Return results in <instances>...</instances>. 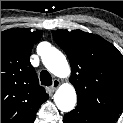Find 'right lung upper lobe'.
Instances as JSON below:
<instances>
[{
    "label": "right lung upper lobe",
    "instance_id": "obj_1",
    "mask_svg": "<svg viewBox=\"0 0 123 123\" xmlns=\"http://www.w3.org/2000/svg\"><path fill=\"white\" fill-rule=\"evenodd\" d=\"M41 36L42 31L26 29L1 32V123H34L48 99L29 60Z\"/></svg>",
    "mask_w": 123,
    "mask_h": 123
}]
</instances>
